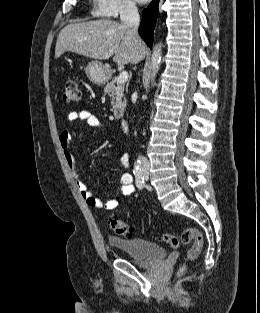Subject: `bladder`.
Instances as JSON below:
<instances>
[{
	"label": "bladder",
	"instance_id": "31cf9c89",
	"mask_svg": "<svg viewBox=\"0 0 260 313\" xmlns=\"http://www.w3.org/2000/svg\"><path fill=\"white\" fill-rule=\"evenodd\" d=\"M108 242L112 247L130 255L141 266H150L166 258V251L162 246L144 239L110 236Z\"/></svg>",
	"mask_w": 260,
	"mask_h": 313
}]
</instances>
